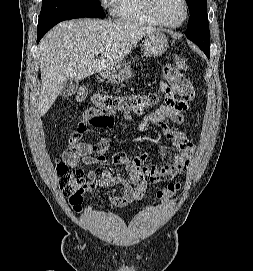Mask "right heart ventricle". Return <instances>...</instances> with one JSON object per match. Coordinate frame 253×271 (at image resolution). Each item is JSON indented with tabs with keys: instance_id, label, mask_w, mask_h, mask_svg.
<instances>
[{
	"instance_id": "right-heart-ventricle-1",
	"label": "right heart ventricle",
	"mask_w": 253,
	"mask_h": 271,
	"mask_svg": "<svg viewBox=\"0 0 253 271\" xmlns=\"http://www.w3.org/2000/svg\"><path fill=\"white\" fill-rule=\"evenodd\" d=\"M113 11L121 20L149 26H161L149 8L148 0H115Z\"/></svg>"
}]
</instances>
